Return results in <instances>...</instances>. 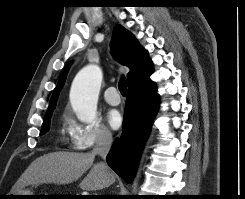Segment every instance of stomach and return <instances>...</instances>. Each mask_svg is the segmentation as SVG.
Returning a JSON list of instances; mask_svg holds the SVG:
<instances>
[{
  "mask_svg": "<svg viewBox=\"0 0 245 199\" xmlns=\"http://www.w3.org/2000/svg\"><path fill=\"white\" fill-rule=\"evenodd\" d=\"M9 195H35L33 192L30 190H25V189H19L16 192L9 194ZM12 199H32L34 197L32 196H12Z\"/></svg>",
  "mask_w": 245,
  "mask_h": 199,
  "instance_id": "obj_1",
  "label": "stomach"
}]
</instances>
